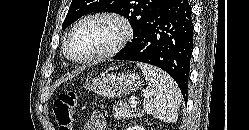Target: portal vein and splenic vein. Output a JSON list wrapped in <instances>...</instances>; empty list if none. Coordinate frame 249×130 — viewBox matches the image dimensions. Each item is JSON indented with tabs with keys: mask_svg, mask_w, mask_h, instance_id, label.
<instances>
[{
	"mask_svg": "<svg viewBox=\"0 0 249 130\" xmlns=\"http://www.w3.org/2000/svg\"><path fill=\"white\" fill-rule=\"evenodd\" d=\"M130 105H131V107H136L137 101L131 100Z\"/></svg>",
	"mask_w": 249,
	"mask_h": 130,
	"instance_id": "obj_1",
	"label": "portal vein and splenic vein"
}]
</instances>
